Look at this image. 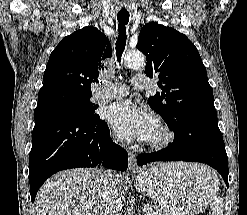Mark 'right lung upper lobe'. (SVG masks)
Masks as SVG:
<instances>
[{
    "instance_id": "right-lung-upper-lobe-1",
    "label": "right lung upper lobe",
    "mask_w": 247,
    "mask_h": 215,
    "mask_svg": "<svg viewBox=\"0 0 247 215\" xmlns=\"http://www.w3.org/2000/svg\"><path fill=\"white\" fill-rule=\"evenodd\" d=\"M111 57L109 39L97 28L87 26L66 36L49 57L42 90L66 88L91 93L98 82L102 60Z\"/></svg>"
}]
</instances>
